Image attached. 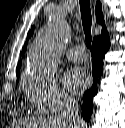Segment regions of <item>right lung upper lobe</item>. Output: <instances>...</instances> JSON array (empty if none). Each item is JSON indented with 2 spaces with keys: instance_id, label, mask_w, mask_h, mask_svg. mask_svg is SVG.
Segmentation results:
<instances>
[{
  "instance_id": "right-lung-upper-lobe-1",
  "label": "right lung upper lobe",
  "mask_w": 125,
  "mask_h": 128,
  "mask_svg": "<svg viewBox=\"0 0 125 128\" xmlns=\"http://www.w3.org/2000/svg\"><path fill=\"white\" fill-rule=\"evenodd\" d=\"M101 9H102L101 3L97 1L96 10H95L96 11V20L98 23H100L102 25V32H103L106 30V26H105V22L103 20V14L101 13ZM33 32H34V27L31 28V30L27 36V39H29L32 36ZM26 47H27V42L24 44L22 52H24ZM20 67H21V63L18 64V68L16 70L17 74H19Z\"/></svg>"
}]
</instances>
